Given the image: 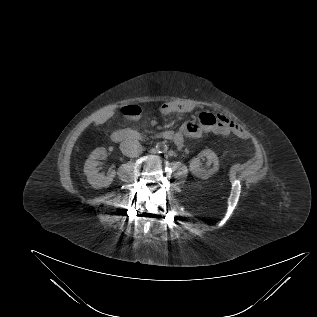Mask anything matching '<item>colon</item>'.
<instances>
[{"label": "colon", "mask_w": 317, "mask_h": 317, "mask_svg": "<svg viewBox=\"0 0 317 317\" xmlns=\"http://www.w3.org/2000/svg\"><path fill=\"white\" fill-rule=\"evenodd\" d=\"M124 112L125 114L130 116H138L141 113V108L138 106L132 105V106H128ZM199 118L203 124L209 125V126L216 125L219 121V116L217 114L210 113V112L201 113Z\"/></svg>", "instance_id": "5ec220e1"}]
</instances>
